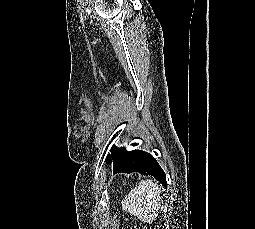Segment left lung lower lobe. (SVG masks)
<instances>
[{
    "instance_id": "obj_1",
    "label": "left lung lower lobe",
    "mask_w": 255,
    "mask_h": 229,
    "mask_svg": "<svg viewBox=\"0 0 255 229\" xmlns=\"http://www.w3.org/2000/svg\"><path fill=\"white\" fill-rule=\"evenodd\" d=\"M114 163V174L124 172H139L144 175H152L167 188L166 176L155 158L149 153L139 150L123 151V153L111 160Z\"/></svg>"
}]
</instances>
